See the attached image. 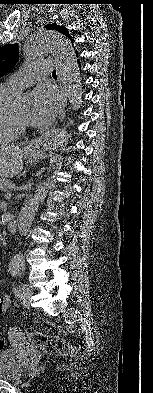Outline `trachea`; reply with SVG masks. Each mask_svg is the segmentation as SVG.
Here are the masks:
<instances>
[{
	"label": "trachea",
	"instance_id": "obj_1",
	"mask_svg": "<svg viewBox=\"0 0 153 393\" xmlns=\"http://www.w3.org/2000/svg\"><path fill=\"white\" fill-rule=\"evenodd\" d=\"M52 76H56V70L52 72Z\"/></svg>",
	"mask_w": 153,
	"mask_h": 393
}]
</instances>
